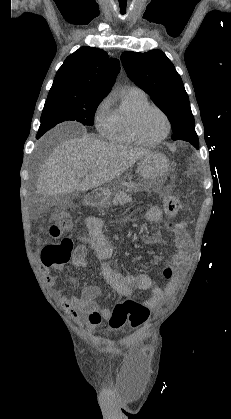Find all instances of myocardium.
Returning <instances> with one entry per match:
<instances>
[{
    "label": "myocardium",
    "mask_w": 231,
    "mask_h": 419,
    "mask_svg": "<svg viewBox=\"0 0 231 419\" xmlns=\"http://www.w3.org/2000/svg\"><path fill=\"white\" fill-rule=\"evenodd\" d=\"M150 109L157 110L164 117L165 122H166V131H165V133L161 137H159L157 139H154V140H151V139L146 138L143 135V133L141 131V128H140L141 118ZM132 130H133V133H134L135 137L141 143L146 144V145H157V144L161 143L163 140H165L168 137V135L170 134V131H171V121H170V118L167 115V113L162 108H160L159 106L154 105V104H146V105L142 106L141 108H139L134 113L133 118H132Z\"/></svg>",
    "instance_id": "1"
}]
</instances>
